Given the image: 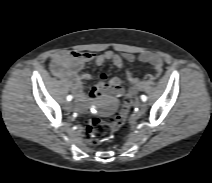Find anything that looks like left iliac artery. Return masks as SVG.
<instances>
[{
  "label": "left iliac artery",
  "instance_id": "44dca946",
  "mask_svg": "<svg viewBox=\"0 0 212 183\" xmlns=\"http://www.w3.org/2000/svg\"><path fill=\"white\" fill-rule=\"evenodd\" d=\"M141 99H142V101H146L147 97L145 95H141Z\"/></svg>",
  "mask_w": 212,
  "mask_h": 183
}]
</instances>
